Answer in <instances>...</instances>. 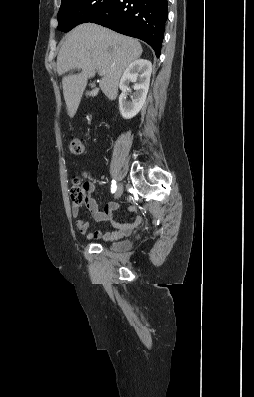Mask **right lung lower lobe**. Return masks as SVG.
<instances>
[{
  "mask_svg": "<svg viewBox=\"0 0 254 397\" xmlns=\"http://www.w3.org/2000/svg\"><path fill=\"white\" fill-rule=\"evenodd\" d=\"M167 7V0H113L101 15L89 22L141 39L159 57L168 17Z\"/></svg>",
  "mask_w": 254,
  "mask_h": 397,
  "instance_id": "obj_1",
  "label": "right lung lower lobe"
}]
</instances>
